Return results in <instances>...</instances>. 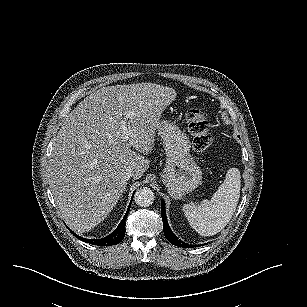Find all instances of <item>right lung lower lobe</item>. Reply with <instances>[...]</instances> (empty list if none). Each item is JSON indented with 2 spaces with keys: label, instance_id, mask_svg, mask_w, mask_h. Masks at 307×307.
I'll return each mask as SVG.
<instances>
[{
  "label": "right lung lower lobe",
  "instance_id": "98d812e1",
  "mask_svg": "<svg viewBox=\"0 0 307 307\" xmlns=\"http://www.w3.org/2000/svg\"><path fill=\"white\" fill-rule=\"evenodd\" d=\"M132 202V201H131ZM130 202V204H131ZM129 204V207L127 209V212L126 214L124 215L122 221L120 222V224L118 225V227L108 236L104 237V238H101V239H86V238H82L78 235H76L74 232H72L70 230V232L72 234L75 235V237H77L78 239L84 241V242H87V243H90V244H94V245H97V246H110V245H116L118 244L125 236V221H126V217L128 215V212L130 210V205Z\"/></svg>",
  "mask_w": 307,
  "mask_h": 307
}]
</instances>
